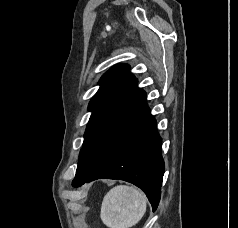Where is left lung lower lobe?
Masks as SVG:
<instances>
[{"label":"left lung lower lobe","instance_id":"obj_1","mask_svg":"<svg viewBox=\"0 0 238 228\" xmlns=\"http://www.w3.org/2000/svg\"><path fill=\"white\" fill-rule=\"evenodd\" d=\"M156 121L146 103V95L123 125L99 165L88 175L75 176L73 186L99 178L121 179L141 188L152 204L160 201L164 161Z\"/></svg>","mask_w":238,"mask_h":228}]
</instances>
